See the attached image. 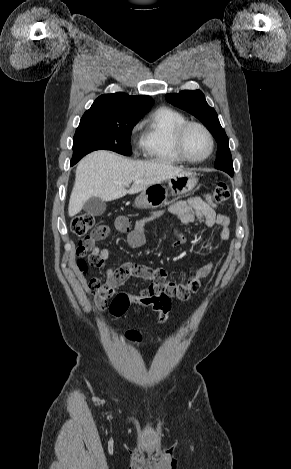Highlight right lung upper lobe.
<instances>
[{"label":"right lung upper lobe","instance_id":"obj_1","mask_svg":"<svg viewBox=\"0 0 291 469\" xmlns=\"http://www.w3.org/2000/svg\"><path fill=\"white\" fill-rule=\"evenodd\" d=\"M149 96H129L123 92L99 96L83 116L98 118H141L153 105Z\"/></svg>","mask_w":291,"mask_h":469}]
</instances>
